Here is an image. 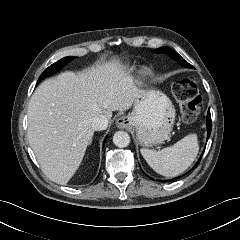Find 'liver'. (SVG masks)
Here are the masks:
<instances>
[{
  "label": "liver",
  "mask_w": 240,
  "mask_h": 240,
  "mask_svg": "<svg viewBox=\"0 0 240 240\" xmlns=\"http://www.w3.org/2000/svg\"><path fill=\"white\" fill-rule=\"evenodd\" d=\"M142 89L118 60L40 84L28 106V139L44 174L65 185L79 168L93 117L131 108Z\"/></svg>",
  "instance_id": "1"
}]
</instances>
